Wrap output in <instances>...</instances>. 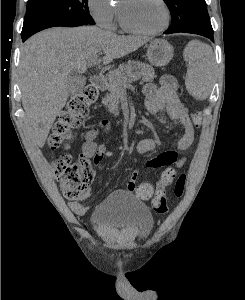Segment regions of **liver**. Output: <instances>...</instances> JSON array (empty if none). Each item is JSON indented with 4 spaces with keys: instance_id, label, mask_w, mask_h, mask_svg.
Masks as SVG:
<instances>
[{
    "instance_id": "obj_1",
    "label": "liver",
    "mask_w": 245,
    "mask_h": 300,
    "mask_svg": "<svg viewBox=\"0 0 245 300\" xmlns=\"http://www.w3.org/2000/svg\"><path fill=\"white\" fill-rule=\"evenodd\" d=\"M148 41L121 36L98 27H54L30 37L22 46L20 79L25 125L34 142L43 147L52 124L69 93L66 78L87 71L88 62L104 53L103 63L123 57Z\"/></svg>"
}]
</instances>
